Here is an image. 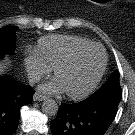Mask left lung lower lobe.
<instances>
[{
    "instance_id": "0a47b994",
    "label": "left lung lower lobe",
    "mask_w": 135,
    "mask_h": 135,
    "mask_svg": "<svg viewBox=\"0 0 135 135\" xmlns=\"http://www.w3.org/2000/svg\"><path fill=\"white\" fill-rule=\"evenodd\" d=\"M121 95V89H103L79 103H62L50 122L53 135H104L116 116Z\"/></svg>"
}]
</instances>
